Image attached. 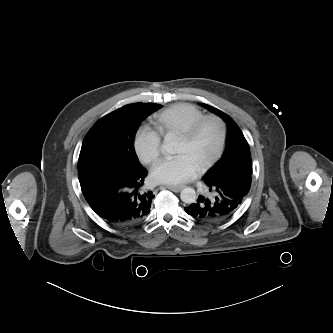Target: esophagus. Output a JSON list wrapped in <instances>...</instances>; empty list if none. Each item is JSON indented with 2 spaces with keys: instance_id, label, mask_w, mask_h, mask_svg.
Returning a JSON list of instances; mask_svg holds the SVG:
<instances>
[{
  "instance_id": "obj_1",
  "label": "esophagus",
  "mask_w": 333,
  "mask_h": 333,
  "mask_svg": "<svg viewBox=\"0 0 333 333\" xmlns=\"http://www.w3.org/2000/svg\"><path fill=\"white\" fill-rule=\"evenodd\" d=\"M166 188L170 189L173 192H180L184 188V186L167 185Z\"/></svg>"
}]
</instances>
